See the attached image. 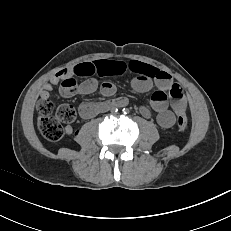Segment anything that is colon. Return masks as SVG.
Listing matches in <instances>:
<instances>
[{"label": "colon", "mask_w": 231, "mask_h": 231, "mask_svg": "<svg viewBox=\"0 0 231 231\" xmlns=\"http://www.w3.org/2000/svg\"><path fill=\"white\" fill-rule=\"evenodd\" d=\"M77 90V80L73 75L67 76L61 83V92L65 96L72 95ZM38 129L42 136L51 142H59L64 138L63 124L72 123L76 118V111L69 104H62L56 109L49 99L40 100L37 105ZM187 127V116L180 112L177 119V129L184 131Z\"/></svg>", "instance_id": "5ec220e1"}]
</instances>
